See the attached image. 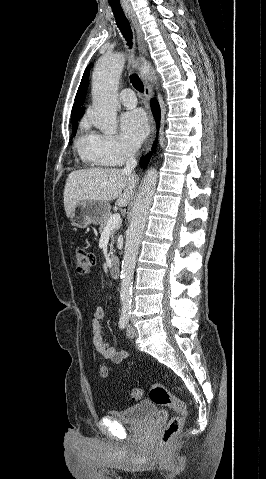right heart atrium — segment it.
Instances as JSON below:
<instances>
[{
    "label": "right heart atrium",
    "mask_w": 266,
    "mask_h": 479,
    "mask_svg": "<svg viewBox=\"0 0 266 479\" xmlns=\"http://www.w3.org/2000/svg\"><path fill=\"white\" fill-rule=\"evenodd\" d=\"M92 135L95 154L107 165L121 166L133 158V150L118 135L109 133Z\"/></svg>",
    "instance_id": "1"
}]
</instances>
